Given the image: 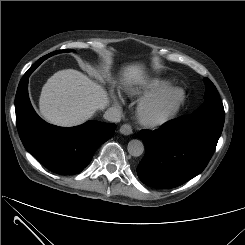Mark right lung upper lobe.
I'll list each match as a JSON object with an SVG mask.
<instances>
[{
    "label": "right lung upper lobe",
    "instance_id": "cb5924a9",
    "mask_svg": "<svg viewBox=\"0 0 245 245\" xmlns=\"http://www.w3.org/2000/svg\"><path fill=\"white\" fill-rule=\"evenodd\" d=\"M39 64H40V60L37 61V63L34 64V65L30 68V70L33 71Z\"/></svg>",
    "mask_w": 245,
    "mask_h": 245
}]
</instances>
